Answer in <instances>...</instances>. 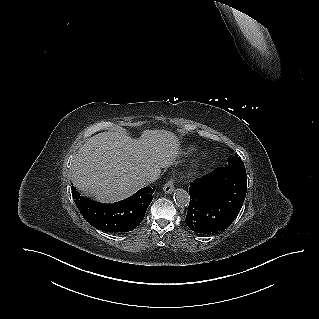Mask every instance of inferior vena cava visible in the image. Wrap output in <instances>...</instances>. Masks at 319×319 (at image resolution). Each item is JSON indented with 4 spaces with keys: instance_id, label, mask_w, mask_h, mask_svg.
<instances>
[{
    "instance_id": "obj_1",
    "label": "inferior vena cava",
    "mask_w": 319,
    "mask_h": 319,
    "mask_svg": "<svg viewBox=\"0 0 319 319\" xmlns=\"http://www.w3.org/2000/svg\"><path fill=\"white\" fill-rule=\"evenodd\" d=\"M159 174L157 172H151L148 173L145 178H144V182L147 183H151L154 182L155 180H157L159 178Z\"/></svg>"
}]
</instances>
